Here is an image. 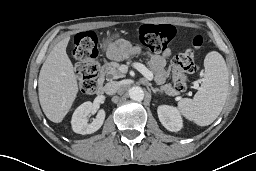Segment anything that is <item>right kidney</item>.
I'll return each instance as SVG.
<instances>
[{
  "mask_svg": "<svg viewBox=\"0 0 256 171\" xmlns=\"http://www.w3.org/2000/svg\"><path fill=\"white\" fill-rule=\"evenodd\" d=\"M95 113L92 102L87 101L81 104L73 113L71 125L75 133L78 134H91L96 132L102 126L105 119V111L100 109L97 116L93 121L88 124L87 117Z\"/></svg>",
  "mask_w": 256,
  "mask_h": 171,
  "instance_id": "ca27d5eb",
  "label": "right kidney"
}]
</instances>
